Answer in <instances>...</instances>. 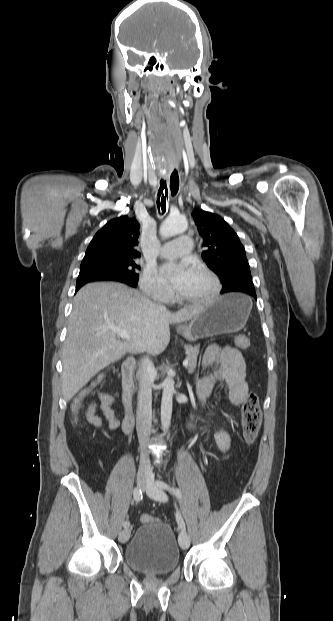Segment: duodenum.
Returning <instances> with one entry per match:
<instances>
[{"instance_id": "410a0bca", "label": "duodenum", "mask_w": 333, "mask_h": 621, "mask_svg": "<svg viewBox=\"0 0 333 621\" xmlns=\"http://www.w3.org/2000/svg\"><path fill=\"white\" fill-rule=\"evenodd\" d=\"M134 368L135 360L133 358H127L122 364V403L124 409L122 429L127 434L132 433L135 426V421L132 413Z\"/></svg>"}]
</instances>
